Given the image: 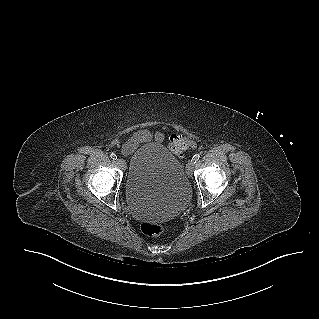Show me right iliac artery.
Instances as JSON below:
<instances>
[{
    "label": "right iliac artery",
    "mask_w": 319,
    "mask_h": 319,
    "mask_svg": "<svg viewBox=\"0 0 319 319\" xmlns=\"http://www.w3.org/2000/svg\"><path fill=\"white\" fill-rule=\"evenodd\" d=\"M110 157L113 159V160H117V155L115 153H111L110 154Z\"/></svg>",
    "instance_id": "82829eb1"
}]
</instances>
